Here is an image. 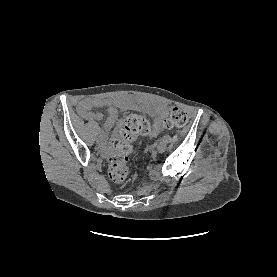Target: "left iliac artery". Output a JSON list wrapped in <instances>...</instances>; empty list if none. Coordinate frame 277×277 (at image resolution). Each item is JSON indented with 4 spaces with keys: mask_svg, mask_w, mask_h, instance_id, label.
I'll return each instance as SVG.
<instances>
[{
    "mask_svg": "<svg viewBox=\"0 0 277 277\" xmlns=\"http://www.w3.org/2000/svg\"><path fill=\"white\" fill-rule=\"evenodd\" d=\"M160 143H164V144H167L170 142V138L169 137H163L160 139L159 141Z\"/></svg>",
    "mask_w": 277,
    "mask_h": 277,
    "instance_id": "left-iliac-artery-1",
    "label": "left iliac artery"
}]
</instances>
